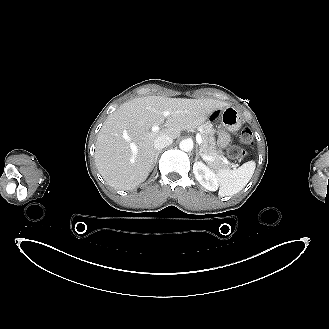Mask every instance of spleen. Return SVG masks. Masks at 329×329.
Segmentation results:
<instances>
[{
	"instance_id": "3e777b00",
	"label": "spleen",
	"mask_w": 329,
	"mask_h": 329,
	"mask_svg": "<svg viewBox=\"0 0 329 329\" xmlns=\"http://www.w3.org/2000/svg\"><path fill=\"white\" fill-rule=\"evenodd\" d=\"M255 167V161H249L234 170L229 168L217 170L220 183L219 196H232L240 192L252 178Z\"/></svg>"
}]
</instances>
